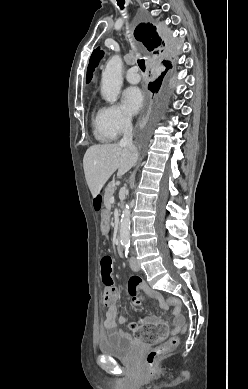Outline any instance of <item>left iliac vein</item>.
<instances>
[{
	"mask_svg": "<svg viewBox=\"0 0 248 389\" xmlns=\"http://www.w3.org/2000/svg\"><path fill=\"white\" fill-rule=\"evenodd\" d=\"M130 267H131V269H132L133 271H135V272H137V271L140 270V266H139V264H138V262H137V259H136L134 256H132V257L130 258Z\"/></svg>",
	"mask_w": 248,
	"mask_h": 389,
	"instance_id": "4c4485c4",
	"label": "left iliac vein"
}]
</instances>
